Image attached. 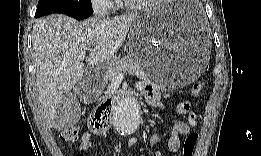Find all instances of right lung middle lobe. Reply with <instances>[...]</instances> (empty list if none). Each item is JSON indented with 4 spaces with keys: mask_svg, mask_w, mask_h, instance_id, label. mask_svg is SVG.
<instances>
[{
    "mask_svg": "<svg viewBox=\"0 0 261 156\" xmlns=\"http://www.w3.org/2000/svg\"><path fill=\"white\" fill-rule=\"evenodd\" d=\"M92 11L90 0H39L35 17L49 13H64L70 15L74 11Z\"/></svg>",
    "mask_w": 261,
    "mask_h": 156,
    "instance_id": "dd1d6c3e",
    "label": "right lung middle lobe"
}]
</instances>
